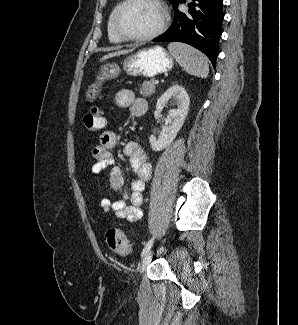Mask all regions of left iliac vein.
<instances>
[{
	"label": "left iliac vein",
	"mask_w": 298,
	"mask_h": 325,
	"mask_svg": "<svg viewBox=\"0 0 298 325\" xmlns=\"http://www.w3.org/2000/svg\"><path fill=\"white\" fill-rule=\"evenodd\" d=\"M152 259V250H149L142 258L138 265V271L143 273Z\"/></svg>",
	"instance_id": "obj_1"
}]
</instances>
